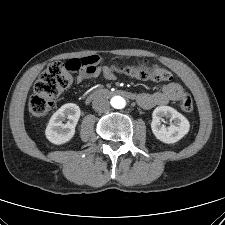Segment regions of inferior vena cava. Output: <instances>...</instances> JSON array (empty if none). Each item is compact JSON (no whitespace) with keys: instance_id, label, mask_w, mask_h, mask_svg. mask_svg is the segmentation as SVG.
Listing matches in <instances>:
<instances>
[{"instance_id":"1","label":"inferior vena cava","mask_w":225,"mask_h":225,"mask_svg":"<svg viewBox=\"0 0 225 225\" xmlns=\"http://www.w3.org/2000/svg\"><path fill=\"white\" fill-rule=\"evenodd\" d=\"M92 107L95 111L103 113L107 112L110 108L109 101L103 96H97L94 98Z\"/></svg>"}]
</instances>
